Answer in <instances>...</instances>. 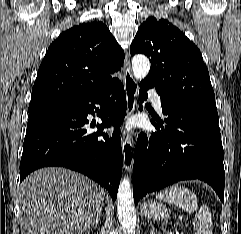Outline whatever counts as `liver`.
Masks as SVG:
<instances>
[{"label": "liver", "instance_id": "liver-1", "mask_svg": "<svg viewBox=\"0 0 241 234\" xmlns=\"http://www.w3.org/2000/svg\"><path fill=\"white\" fill-rule=\"evenodd\" d=\"M105 191L74 171L47 167L20 186L21 234H82L101 211Z\"/></svg>", "mask_w": 241, "mask_h": 234}]
</instances>
